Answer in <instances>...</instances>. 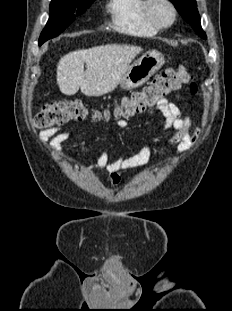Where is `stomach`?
<instances>
[{"label": "stomach", "instance_id": "obj_1", "mask_svg": "<svg viewBox=\"0 0 232 311\" xmlns=\"http://www.w3.org/2000/svg\"><path fill=\"white\" fill-rule=\"evenodd\" d=\"M165 63L164 56L157 50L146 51L134 63L129 65L123 75L120 86L130 90L143 85Z\"/></svg>", "mask_w": 232, "mask_h": 311}]
</instances>
